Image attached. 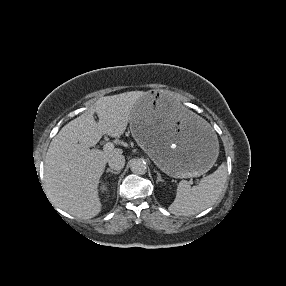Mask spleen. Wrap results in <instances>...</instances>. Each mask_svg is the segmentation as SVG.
Instances as JSON below:
<instances>
[{"label": "spleen", "mask_w": 286, "mask_h": 286, "mask_svg": "<svg viewBox=\"0 0 286 286\" xmlns=\"http://www.w3.org/2000/svg\"><path fill=\"white\" fill-rule=\"evenodd\" d=\"M227 178V168L223 163L218 169L202 178L198 185L191 187L182 180L177 187L175 200L169 206L175 215L191 216L212 206L221 195Z\"/></svg>", "instance_id": "3e777b00"}]
</instances>
